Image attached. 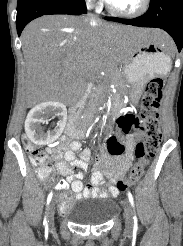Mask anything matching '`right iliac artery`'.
Here are the masks:
<instances>
[{
  "label": "right iliac artery",
  "mask_w": 183,
  "mask_h": 246,
  "mask_svg": "<svg viewBox=\"0 0 183 246\" xmlns=\"http://www.w3.org/2000/svg\"><path fill=\"white\" fill-rule=\"evenodd\" d=\"M52 196H53V192H50L49 195H48V197H47V205H49V203H50V201H51V199H52ZM43 224H44V226H45L46 228L48 227V222H47L46 216H45V218H44Z\"/></svg>",
  "instance_id": "obj_1"
}]
</instances>
